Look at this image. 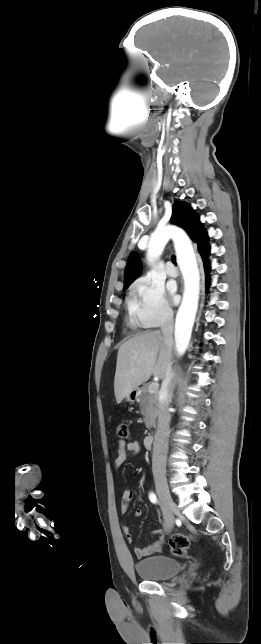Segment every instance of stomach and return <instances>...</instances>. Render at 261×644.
<instances>
[{"instance_id": "0dacf381", "label": "stomach", "mask_w": 261, "mask_h": 644, "mask_svg": "<svg viewBox=\"0 0 261 644\" xmlns=\"http://www.w3.org/2000/svg\"><path fill=\"white\" fill-rule=\"evenodd\" d=\"M138 397V390L132 391L130 394L126 396V400L130 403H133Z\"/></svg>"}]
</instances>
